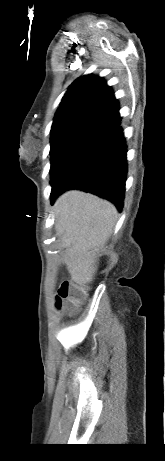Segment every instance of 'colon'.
I'll list each match as a JSON object with an SVG mask.
<instances>
[{"label":"colon","mask_w":165,"mask_h":461,"mask_svg":"<svg viewBox=\"0 0 165 461\" xmlns=\"http://www.w3.org/2000/svg\"><path fill=\"white\" fill-rule=\"evenodd\" d=\"M87 297V291L84 287L75 284L71 280H64L60 284L55 297V307L58 310L64 307L69 312H75Z\"/></svg>","instance_id":"obj_1"}]
</instances>
